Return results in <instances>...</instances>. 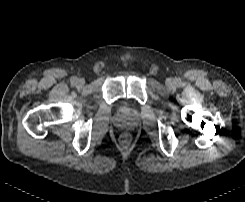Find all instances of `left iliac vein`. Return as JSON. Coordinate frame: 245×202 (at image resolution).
<instances>
[{
	"instance_id": "obj_1",
	"label": "left iliac vein",
	"mask_w": 245,
	"mask_h": 202,
	"mask_svg": "<svg viewBox=\"0 0 245 202\" xmlns=\"http://www.w3.org/2000/svg\"><path fill=\"white\" fill-rule=\"evenodd\" d=\"M166 84H167V86H173V84H174V80L173 79H171V78H168L167 80H166Z\"/></svg>"
}]
</instances>
